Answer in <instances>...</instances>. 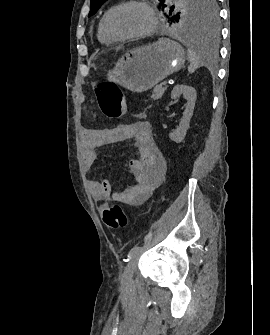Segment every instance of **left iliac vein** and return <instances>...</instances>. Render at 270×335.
<instances>
[{
	"label": "left iliac vein",
	"mask_w": 270,
	"mask_h": 335,
	"mask_svg": "<svg viewBox=\"0 0 270 335\" xmlns=\"http://www.w3.org/2000/svg\"><path fill=\"white\" fill-rule=\"evenodd\" d=\"M138 258H139V253L136 254L135 256H133L130 261L128 262L126 268L124 269V272L121 276V284L122 286L126 287L129 286L132 278H133V274L135 271V268L137 266V262H138Z\"/></svg>",
	"instance_id": "obj_1"
}]
</instances>
